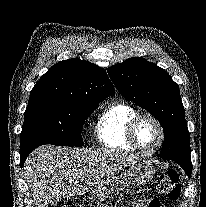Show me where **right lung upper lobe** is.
<instances>
[{
    "mask_svg": "<svg viewBox=\"0 0 206 207\" xmlns=\"http://www.w3.org/2000/svg\"><path fill=\"white\" fill-rule=\"evenodd\" d=\"M115 91L106 72L77 58L53 65L30 92L29 102L55 99L81 104H98Z\"/></svg>",
    "mask_w": 206,
    "mask_h": 207,
    "instance_id": "1",
    "label": "right lung upper lobe"
}]
</instances>
